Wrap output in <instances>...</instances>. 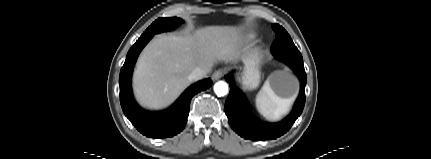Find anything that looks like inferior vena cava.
Here are the masks:
<instances>
[{
  "label": "inferior vena cava",
  "instance_id": "obj_1",
  "mask_svg": "<svg viewBox=\"0 0 431 159\" xmlns=\"http://www.w3.org/2000/svg\"><path fill=\"white\" fill-rule=\"evenodd\" d=\"M210 68L207 69H202V68H195L188 76V79L190 81H197L203 77H205L209 72H210Z\"/></svg>",
  "mask_w": 431,
  "mask_h": 159
}]
</instances>
